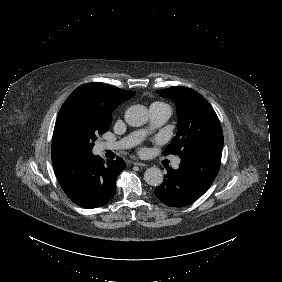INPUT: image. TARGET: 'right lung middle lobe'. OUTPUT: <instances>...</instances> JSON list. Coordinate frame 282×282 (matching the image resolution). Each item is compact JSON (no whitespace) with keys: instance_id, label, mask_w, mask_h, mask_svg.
I'll return each mask as SVG.
<instances>
[{"instance_id":"dd1d6c3e","label":"right lung middle lobe","mask_w":282,"mask_h":282,"mask_svg":"<svg viewBox=\"0 0 282 282\" xmlns=\"http://www.w3.org/2000/svg\"><path fill=\"white\" fill-rule=\"evenodd\" d=\"M123 101L112 98H82L65 101L54 128L52 156L61 160L92 153L98 136L110 128L112 111Z\"/></svg>"}]
</instances>
